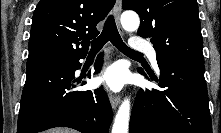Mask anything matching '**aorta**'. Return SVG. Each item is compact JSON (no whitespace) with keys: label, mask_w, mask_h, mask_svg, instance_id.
<instances>
[{"label":"aorta","mask_w":221,"mask_h":133,"mask_svg":"<svg viewBox=\"0 0 221 133\" xmlns=\"http://www.w3.org/2000/svg\"><path fill=\"white\" fill-rule=\"evenodd\" d=\"M121 24L127 31H135L139 28L140 19L135 12H124L121 15ZM130 119V99L125 98L120 105L111 133H128Z\"/></svg>","instance_id":"1"}]
</instances>
